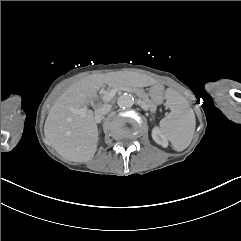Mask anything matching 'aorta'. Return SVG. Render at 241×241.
I'll return each instance as SVG.
<instances>
[{"label": "aorta", "mask_w": 241, "mask_h": 241, "mask_svg": "<svg viewBox=\"0 0 241 241\" xmlns=\"http://www.w3.org/2000/svg\"><path fill=\"white\" fill-rule=\"evenodd\" d=\"M117 104L120 108H130L134 104V98L130 94H123L118 98Z\"/></svg>", "instance_id": "obj_1"}]
</instances>
